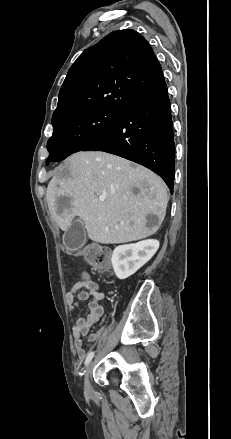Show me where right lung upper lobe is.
<instances>
[{"label": "right lung upper lobe", "mask_w": 231, "mask_h": 439, "mask_svg": "<svg viewBox=\"0 0 231 439\" xmlns=\"http://www.w3.org/2000/svg\"><path fill=\"white\" fill-rule=\"evenodd\" d=\"M164 87L161 66L146 39L134 30H117L71 66L52 119L94 108L124 112Z\"/></svg>", "instance_id": "cb5924a9"}]
</instances>
